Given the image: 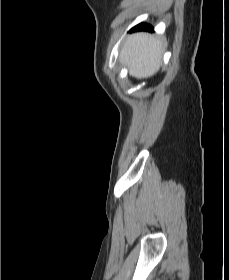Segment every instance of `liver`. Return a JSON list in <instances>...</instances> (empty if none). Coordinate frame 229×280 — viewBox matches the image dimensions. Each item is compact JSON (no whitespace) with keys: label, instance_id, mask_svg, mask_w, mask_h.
<instances>
[{"label":"liver","instance_id":"6515ba94","mask_svg":"<svg viewBox=\"0 0 229 280\" xmlns=\"http://www.w3.org/2000/svg\"><path fill=\"white\" fill-rule=\"evenodd\" d=\"M163 40L146 33L129 36L123 44L120 61L137 79L153 76L161 67Z\"/></svg>","mask_w":229,"mask_h":280}]
</instances>
